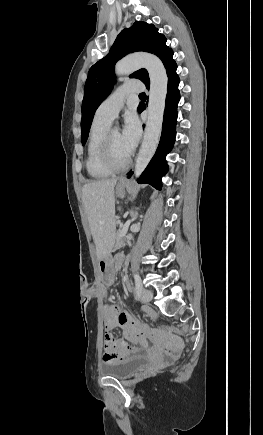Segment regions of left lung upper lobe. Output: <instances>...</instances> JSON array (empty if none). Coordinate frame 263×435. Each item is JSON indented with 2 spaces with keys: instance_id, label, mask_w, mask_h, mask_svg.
I'll list each match as a JSON object with an SVG mask.
<instances>
[{
  "instance_id": "obj_1",
  "label": "left lung upper lobe",
  "mask_w": 263,
  "mask_h": 435,
  "mask_svg": "<svg viewBox=\"0 0 263 435\" xmlns=\"http://www.w3.org/2000/svg\"><path fill=\"white\" fill-rule=\"evenodd\" d=\"M165 43V36L158 33V29L154 25L146 22H135L132 27L120 32L109 53L90 68L82 102L81 141L83 145L88 138L96 109L110 94L114 86L115 63L129 53L146 51L157 55L166 68L173 61V51ZM130 77L140 79L146 85L150 84L146 69H140L131 74Z\"/></svg>"
}]
</instances>
